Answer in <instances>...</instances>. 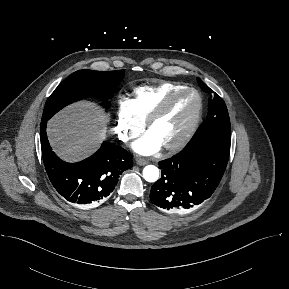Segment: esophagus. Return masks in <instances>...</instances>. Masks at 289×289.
I'll use <instances>...</instances> for the list:
<instances>
[{"mask_svg":"<svg viewBox=\"0 0 289 289\" xmlns=\"http://www.w3.org/2000/svg\"><path fill=\"white\" fill-rule=\"evenodd\" d=\"M136 163L139 165V166H144L148 163L147 160L141 158V157H137L136 158Z\"/></svg>","mask_w":289,"mask_h":289,"instance_id":"obj_1","label":"esophagus"}]
</instances>
